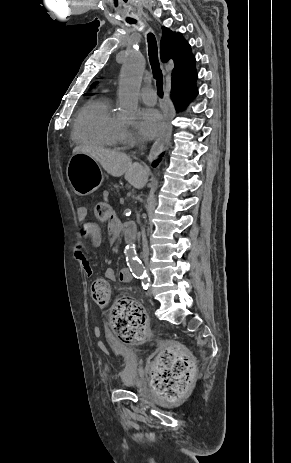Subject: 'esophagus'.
I'll return each instance as SVG.
<instances>
[{"label":"esophagus","instance_id":"1","mask_svg":"<svg viewBox=\"0 0 291 463\" xmlns=\"http://www.w3.org/2000/svg\"><path fill=\"white\" fill-rule=\"evenodd\" d=\"M164 124H165L164 130L162 131V133L159 135L157 140L152 145L150 153L147 156V160L149 162L157 158V156L165 149V146L169 141V138L171 135V125H170V118L167 113L164 115Z\"/></svg>","mask_w":291,"mask_h":463}]
</instances>
